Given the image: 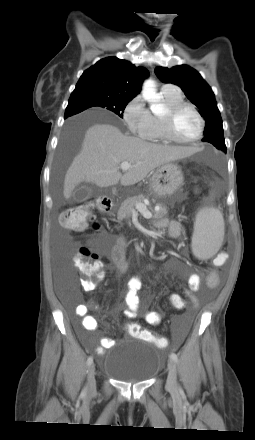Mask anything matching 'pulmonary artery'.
Segmentation results:
<instances>
[{"label":"pulmonary artery","mask_w":255,"mask_h":440,"mask_svg":"<svg viewBox=\"0 0 255 440\" xmlns=\"http://www.w3.org/2000/svg\"><path fill=\"white\" fill-rule=\"evenodd\" d=\"M175 88L170 84H164L162 86V91H173Z\"/></svg>","instance_id":"e3ab8cb5"}]
</instances>
